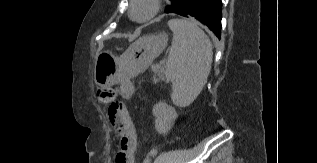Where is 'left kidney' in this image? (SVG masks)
Returning <instances> with one entry per match:
<instances>
[{"label":"left kidney","mask_w":317,"mask_h":163,"mask_svg":"<svg viewBox=\"0 0 317 163\" xmlns=\"http://www.w3.org/2000/svg\"><path fill=\"white\" fill-rule=\"evenodd\" d=\"M152 112L155 117L156 131L159 134H167L178 117L175 108L166 102H159L153 106Z\"/></svg>","instance_id":"left-kidney-1"}]
</instances>
